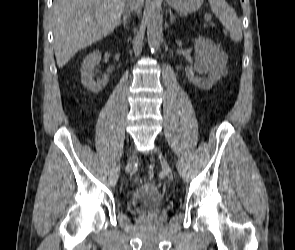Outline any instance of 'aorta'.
Segmentation results:
<instances>
[{
    "label": "aorta",
    "instance_id": "762f6f07",
    "mask_svg": "<svg viewBox=\"0 0 295 250\" xmlns=\"http://www.w3.org/2000/svg\"><path fill=\"white\" fill-rule=\"evenodd\" d=\"M147 38L152 51L157 50L163 40L162 17L156 10H151L146 19Z\"/></svg>",
    "mask_w": 295,
    "mask_h": 250
}]
</instances>
